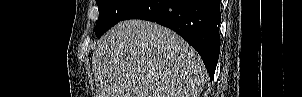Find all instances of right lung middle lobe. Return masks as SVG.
<instances>
[{
  "label": "right lung middle lobe",
  "instance_id": "obj_1",
  "mask_svg": "<svg viewBox=\"0 0 302 97\" xmlns=\"http://www.w3.org/2000/svg\"><path fill=\"white\" fill-rule=\"evenodd\" d=\"M141 0H96L99 18L94 28L96 37H100L112 26L122 21L123 17Z\"/></svg>",
  "mask_w": 302,
  "mask_h": 97
}]
</instances>
